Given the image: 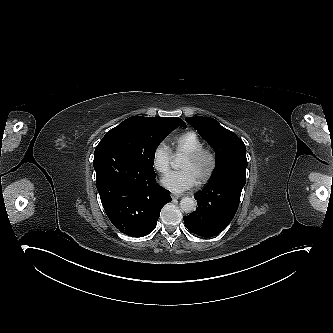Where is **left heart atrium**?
Here are the masks:
<instances>
[{
    "mask_svg": "<svg viewBox=\"0 0 333 333\" xmlns=\"http://www.w3.org/2000/svg\"><path fill=\"white\" fill-rule=\"evenodd\" d=\"M163 184L175 192H183L194 184L193 177L185 170L167 172L163 178Z\"/></svg>",
    "mask_w": 333,
    "mask_h": 333,
    "instance_id": "1",
    "label": "left heart atrium"
}]
</instances>
